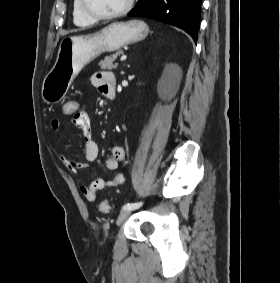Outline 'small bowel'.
Masks as SVG:
<instances>
[{
	"instance_id": "obj_1",
	"label": "small bowel",
	"mask_w": 280,
	"mask_h": 283,
	"mask_svg": "<svg viewBox=\"0 0 280 283\" xmlns=\"http://www.w3.org/2000/svg\"><path fill=\"white\" fill-rule=\"evenodd\" d=\"M93 84L98 88L100 93L107 96L110 85L114 84V77L110 72H99L93 77ZM72 121L83 126L85 160L87 162L96 160L99 149L97 143L92 138L88 112L85 110L75 112V115L72 116ZM50 125L53 130L58 131L61 127V121L54 118L50 121ZM124 157L125 154L122 147H112L110 154L105 160L106 168L108 170H116L119 163L124 160ZM61 162L71 173H77L80 170L88 168L87 162H78L66 156H61ZM124 179V173L119 171L111 179L97 178L89 185H82L81 191L88 201H94L99 192L122 184Z\"/></svg>"
}]
</instances>
